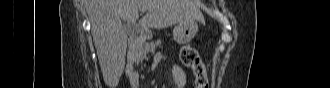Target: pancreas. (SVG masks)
I'll return each instance as SVG.
<instances>
[{"label": "pancreas", "mask_w": 330, "mask_h": 88, "mask_svg": "<svg viewBox=\"0 0 330 88\" xmlns=\"http://www.w3.org/2000/svg\"><path fill=\"white\" fill-rule=\"evenodd\" d=\"M161 45H162V41L161 40H157L155 42L146 43L145 46H144V48L140 50V55H139L140 58L147 60L148 59V57H147L148 53L154 52L155 49L157 47H161Z\"/></svg>", "instance_id": "pancreas-1"}]
</instances>
